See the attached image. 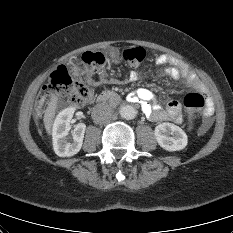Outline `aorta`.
Masks as SVG:
<instances>
[{
  "label": "aorta",
  "mask_w": 233,
  "mask_h": 233,
  "mask_svg": "<svg viewBox=\"0 0 233 233\" xmlns=\"http://www.w3.org/2000/svg\"><path fill=\"white\" fill-rule=\"evenodd\" d=\"M120 115L126 120L134 119L137 115L136 109L131 105H125L120 108Z\"/></svg>",
  "instance_id": "obj_1"
}]
</instances>
